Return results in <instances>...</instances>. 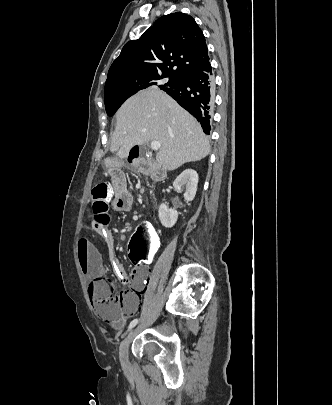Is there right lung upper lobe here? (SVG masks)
I'll list each match as a JSON object with an SVG mask.
<instances>
[{
	"label": "right lung upper lobe",
	"instance_id": "right-lung-upper-lobe-1",
	"mask_svg": "<svg viewBox=\"0 0 332 405\" xmlns=\"http://www.w3.org/2000/svg\"><path fill=\"white\" fill-rule=\"evenodd\" d=\"M208 60L205 38L195 20L181 12L171 13L123 47L109 69L105 87L129 76L181 77Z\"/></svg>",
	"mask_w": 332,
	"mask_h": 405
}]
</instances>
